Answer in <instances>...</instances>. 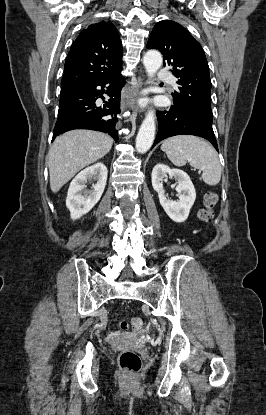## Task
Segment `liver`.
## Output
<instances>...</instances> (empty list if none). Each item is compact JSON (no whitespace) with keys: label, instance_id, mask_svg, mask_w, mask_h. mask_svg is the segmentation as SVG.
I'll return each mask as SVG.
<instances>
[{"label":"liver","instance_id":"6515ba94","mask_svg":"<svg viewBox=\"0 0 266 415\" xmlns=\"http://www.w3.org/2000/svg\"><path fill=\"white\" fill-rule=\"evenodd\" d=\"M112 144L110 136L90 130H73L57 137L47 162L52 192H58L77 172L104 157Z\"/></svg>","mask_w":266,"mask_h":415}]
</instances>
